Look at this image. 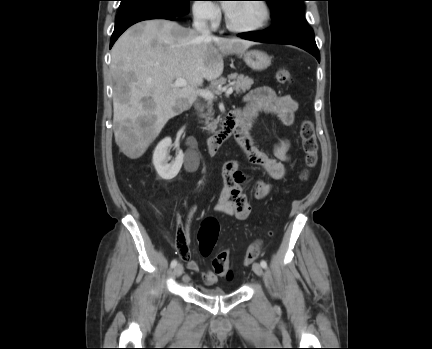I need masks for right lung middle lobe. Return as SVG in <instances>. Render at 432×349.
<instances>
[{
	"label": "right lung middle lobe",
	"mask_w": 432,
	"mask_h": 349,
	"mask_svg": "<svg viewBox=\"0 0 432 349\" xmlns=\"http://www.w3.org/2000/svg\"><path fill=\"white\" fill-rule=\"evenodd\" d=\"M119 13L125 12L141 6H156L168 9L180 15H185L189 11V1L191 0H120Z\"/></svg>",
	"instance_id": "1"
}]
</instances>
